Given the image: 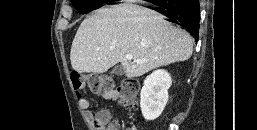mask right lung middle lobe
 <instances>
[{"instance_id":"right-lung-middle-lobe-1","label":"right lung middle lobe","mask_w":257,"mask_h":130,"mask_svg":"<svg viewBox=\"0 0 257 130\" xmlns=\"http://www.w3.org/2000/svg\"><path fill=\"white\" fill-rule=\"evenodd\" d=\"M78 12L87 13L105 3V0H71Z\"/></svg>"}]
</instances>
